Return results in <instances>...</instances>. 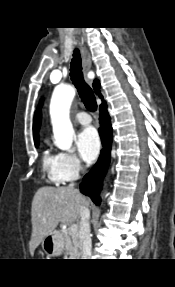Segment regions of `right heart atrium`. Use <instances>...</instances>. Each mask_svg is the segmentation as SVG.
<instances>
[{"label":"right heart atrium","mask_w":175,"mask_h":287,"mask_svg":"<svg viewBox=\"0 0 175 287\" xmlns=\"http://www.w3.org/2000/svg\"><path fill=\"white\" fill-rule=\"evenodd\" d=\"M82 168V163L75 154L69 152L58 154V169L62 183L76 179Z\"/></svg>","instance_id":"right-heart-atrium-1"}]
</instances>
